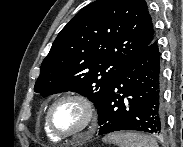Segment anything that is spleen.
<instances>
[{"mask_svg":"<svg viewBox=\"0 0 183 147\" xmlns=\"http://www.w3.org/2000/svg\"><path fill=\"white\" fill-rule=\"evenodd\" d=\"M104 142L117 144L119 147H158L150 136L135 132H116L103 138Z\"/></svg>","mask_w":183,"mask_h":147,"instance_id":"spleen-1","label":"spleen"}]
</instances>
